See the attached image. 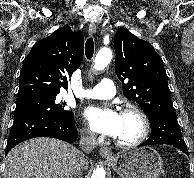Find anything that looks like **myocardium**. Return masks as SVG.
<instances>
[{
	"label": "myocardium",
	"mask_w": 194,
	"mask_h": 178,
	"mask_svg": "<svg viewBox=\"0 0 194 178\" xmlns=\"http://www.w3.org/2000/svg\"><path fill=\"white\" fill-rule=\"evenodd\" d=\"M121 114H133L135 115L141 123V132L139 136L132 141H121L117 138H114V142L117 146L122 148H134L142 144L148 137L150 133V121L147 115L136 106H126L121 110Z\"/></svg>",
	"instance_id": "obj_1"
}]
</instances>
